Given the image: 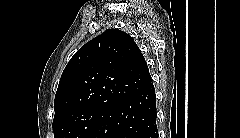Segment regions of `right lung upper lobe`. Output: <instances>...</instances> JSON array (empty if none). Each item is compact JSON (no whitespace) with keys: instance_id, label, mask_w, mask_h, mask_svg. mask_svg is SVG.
Listing matches in <instances>:
<instances>
[{"instance_id":"right-lung-upper-lobe-1","label":"right lung upper lobe","mask_w":240,"mask_h":138,"mask_svg":"<svg viewBox=\"0 0 240 138\" xmlns=\"http://www.w3.org/2000/svg\"><path fill=\"white\" fill-rule=\"evenodd\" d=\"M152 82L147 63L127 33L109 29L82 46L65 67L54 120L77 111L110 109Z\"/></svg>"}]
</instances>
